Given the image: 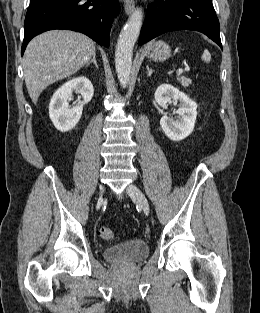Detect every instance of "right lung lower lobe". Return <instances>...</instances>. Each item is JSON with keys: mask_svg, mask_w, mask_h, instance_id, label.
Segmentation results:
<instances>
[{"mask_svg": "<svg viewBox=\"0 0 260 313\" xmlns=\"http://www.w3.org/2000/svg\"><path fill=\"white\" fill-rule=\"evenodd\" d=\"M118 12V0H30L21 54L34 36L52 29L78 31L108 47L111 23Z\"/></svg>", "mask_w": 260, "mask_h": 313, "instance_id": "1", "label": "right lung lower lobe"}]
</instances>
